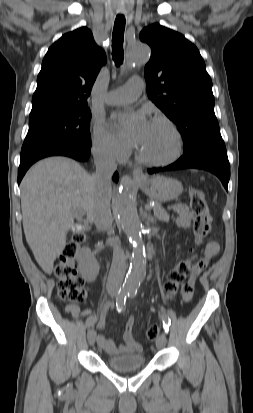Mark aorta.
<instances>
[{
    "instance_id": "762f6f07",
    "label": "aorta",
    "mask_w": 253,
    "mask_h": 413,
    "mask_svg": "<svg viewBox=\"0 0 253 413\" xmlns=\"http://www.w3.org/2000/svg\"><path fill=\"white\" fill-rule=\"evenodd\" d=\"M149 54L150 49L146 44L141 42L135 43L128 50V59L125 67L130 68L136 63L146 61ZM115 212L125 234L133 244L132 259L124 282V289L135 291L145 278L146 264L142 224L139 220L129 179H126L122 186H120L115 200Z\"/></svg>"
}]
</instances>
